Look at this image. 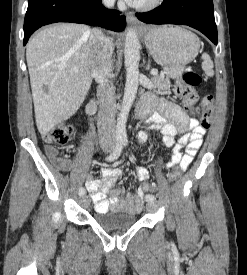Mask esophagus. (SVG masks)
I'll return each instance as SVG.
<instances>
[{"label": "esophagus", "mask_w": 247, "mask_h": 275, "mask_svg": "<svg viewBox=\"0 0 247 275\" xmlns=\"http://www.w3.org/2000/svg\"><path fill=\"white\" fill-rule=\"evenodd\" d=\"M126 19H127V22L129 24L140 25V23L137 20V18L135 17V15L133 13H131V12H129V13L126 14Z\"/></svg>", "instance_id": "esophagus-1"}]
</instances>
